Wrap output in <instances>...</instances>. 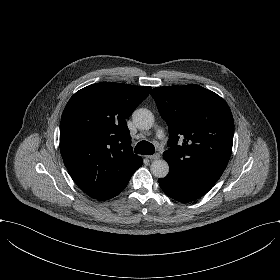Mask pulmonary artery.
I'll use <instances>...</instances> for the list:
<instances>
[{
    "label": "pulmonary artery",
    "instance_id": "pulmonary-artery-1",
    "mask_svg": "<svg viewBox=\"0 0 280 280\" xmlns=\"http://www.w3.org/2000/svg\"><path fill=\"white\" fill-rule=\"evenodd\" d=\"M160 137H163V134L162 133H160V135H159Z\"/></svg>",
    "mask_w": 280,
    "mask_h": 280
}]
</instances>
